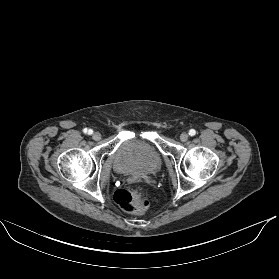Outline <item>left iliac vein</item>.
<instances>
[{"label": "left iliac vein", "mask_w": 279, "mask_h": 279, "mask_svg": "<svg viewBox=\"0 0 279 279\" xmlns=\"http://www.w3.org/2000/svg\"><path fill=\"white\" fill-rule=\"evenodd\" d=\"M188 138H189V135H188L187 133H182V134L180 135V140H181L182 142H186V141L188 140Z\"/></svg>", "instance_id": "1"}]
</instances>
